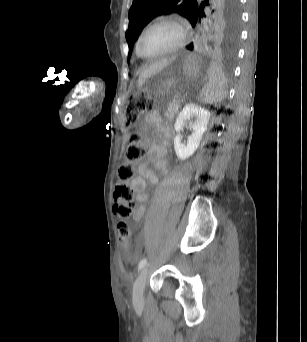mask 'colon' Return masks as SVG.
Segmentation results:
<instances>
[{
  "label": "colon",
  "instance_id": "1",
  "mask_svg": "<svg viewBox=\"0 0 307 342\" xmlns=\"http://www.w3.org/2000/svg\"><path fill=\"white\" fill-rule=\"evenodd\" d=\"M148 109V103L144 100L133 99L125 112L127 125L135 124L139 117ZM146 151L140 142V135L133 133L131 141L125 148L122 156L124 161L117 169V181L114 187L115 212L120 218L118 222L119 240L123 247H129L131 241V225L129 219L133 213V192L129 187V181L135 176L134 165L144 160Z\"/></svg>",
  "mask_w": 307,
  "mask_h": 342
}]
</instances>
